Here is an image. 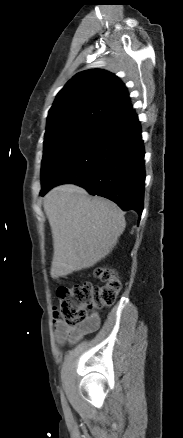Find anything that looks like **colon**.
<instances>
[{"mask_svg": "<svg viewBox=\"0 0 183 438\" xmlns=\"http://www.w3.org/2000/svg\"><path fill=\"white\" fill-rule=\"evenodd\" d=\"M95 276L102 282L101 285L84 282L58 288L59 315L67 326H82L88 318L89 310L111 305L117 298L122 283L116 272L108 267H98Z\"/></svg>", "mask_w": 183, "mask_h": 438, "instance_id": "1", "label": "colon"}]
</instances>
